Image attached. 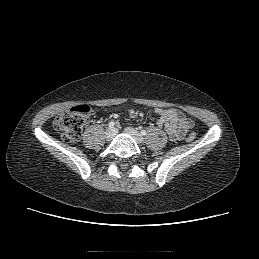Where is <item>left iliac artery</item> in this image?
Returning a JSON list of instances; mask_svg holds the SVG:
<instances>
[{
  "instance_id": "left-iliac-artery-1",
  "label": "left iliac artery",
  "mask_w": 259,
  "mask_h": 259,
  "mask_svg": "<svg viewBox=\"0 0 259 259\" xmlns=\"http://www.w3.org/2000/svg\"><path fill=\"white\" fill-rule=\"evenodd\" d=\"M141 134H142L143 136H145V135L147 134V132H146L145 130H142V131H141Z\"/></svg>"
}]
</instances>
